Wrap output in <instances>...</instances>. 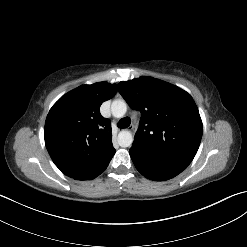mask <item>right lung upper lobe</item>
<instances>
[{
	"label": "right lung upper lobe",
	"instance_id": "right-lung-upper-lobe-1",
	"mask_svg": "<svg viewBox=\"0 0 247 247\" xmlns=\"http://www.w3.org/2000/svg\"><path fill=\"white\" fill-rule=\"evenodd\" d=\"M117 92L115 84L82 85L50 110L44 130L46 148L67 176H80L103 161L113 148L110 121L100 115L101 104Z\"/></svg>",
	"mask_w": 247,
	"mask_h": 247
}]
</instances>
